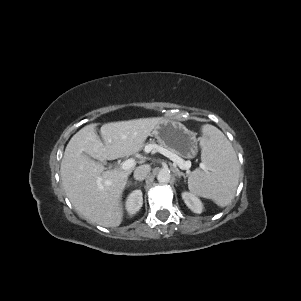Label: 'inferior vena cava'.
<instances>
[{
  "mask_svg": "<svg viewBox=\"0 0 301 301\" xmlns=\"http://www.w3.org/2000/svg\"><path fill=\"white\" fill-rule=\"evenodd\" d=\"M150 173L149 165H141L137 167L134 171V178L138 181L144 180Z\"/></svg>",
  "mask_w": 301,
  "mask_h": 301,
  "instance_id": "1",
  "label": "inferior vena cava"
}]
</instances>
